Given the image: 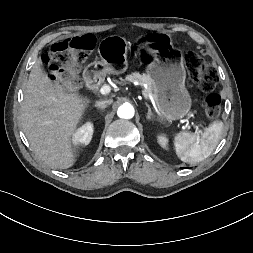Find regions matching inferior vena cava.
Returning a JSON list of instances; mask_svg holds the SVG:
<instances>
[{
	"mask_svg": "<svg viewBox=\"0 0 253 253\" xmlns=\"http://www.w3.org/2000/svg\"><path fill=\"white\" fill-rule=\"evenodd\" d=\"M112 102H113L112 99H105V100L97 101L96 105L106 107L107 105H110Z\"/></svg>",
	"mask_w": 253,
	"mask_h": 253,
	"instance_id": "obj_1",
	"label": "inferior vena cava"
}]
</instances>
